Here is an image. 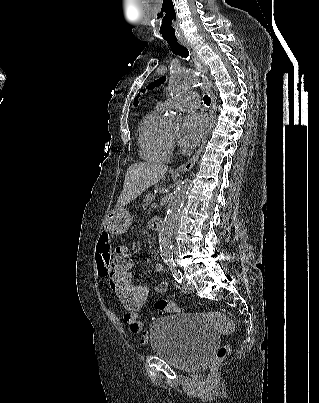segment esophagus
<instances>
[{
	"label": "esophagus",
	"instance_id": "34e87169",
	"mask_svg": "<svg viewBox=\"0 0 319 403\" xmlns=\"http://www.w3.org/2000/svg\"><path fill=\"white\" fill-rule=\"evenodd\" d=\"M180 43L183 46H185L191 52L196 68L200 72H202L204 74H208V68L205 66V64H204L203 60L201 59V57L197 54L195 48L186 40H182ZM210 96H211V106H210V124H209V128H208V130H207V132H206V134H205V136H204V138L202 140V143H201L199 149L196 151V153L193 155V157L188 162H186L185 164H182L179 167H177L175 169L176 172L189 171L194 166L195 162L198 160V158H199V156H200V154H201V152H202V150L204 148V145H205V143L207 141V138H208V135H209V133L211 131V128L215 123V116H216V98H215V95L213 94L212 91H210Z\"/></svg>",
	"mask_w": 319,
	"mask_h": 403
}]
</instances>
